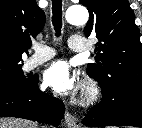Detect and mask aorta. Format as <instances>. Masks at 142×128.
I'll list each match as a JSON object with an SVG mask.
<instances>
[{"instance_id": "obj_1", "label": "aorta", "mask_w": 142, "mask_h": 128, "mask_svg": "<svg viewBox=\"0 0 142 128\" xmlns=\"http://www.w3.org/2000/svg\"><path fill=\"white\" fill-rule=\"evenodd\" d=\"M65 18L69 24L83 25L87 23L89 14L85 7L74 6L66 11Z\"/></svg>"}]
</instances>
